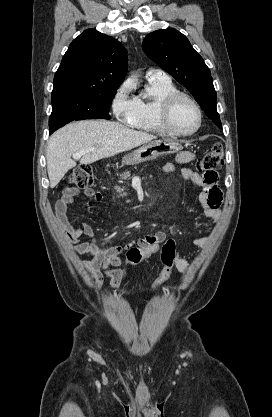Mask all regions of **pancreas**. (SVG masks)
Instances as JSON below:
<instances>
[{"instance_id": "1", "label": "pancreas", "mask_w": 272, "mask_h": 417, "mask_svg": "<svg viewBox=\"0 0 272 417\" xmlns=\"http://www.w3.org/2000/svg\"><path fill=\"white\" fill-rule=\"evenodd\" d=\"M130 177V173L129 172H125V173H123L122 175H121V178L123 179V180H127V178H129ZM115 190H116V192L119 194V195H121V193L122 192H124V188H121V187H119V186H115V188H114ZM125 194V193H124Z\"/></svg>"}]
</instances>
